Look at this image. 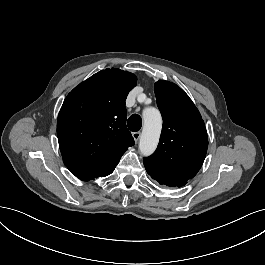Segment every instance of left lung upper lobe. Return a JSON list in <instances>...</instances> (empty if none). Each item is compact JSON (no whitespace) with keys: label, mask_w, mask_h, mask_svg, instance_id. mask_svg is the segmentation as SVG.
Segmentation results:
<instances>
[{"label":"left lung upper lobe","mask_w":265,"mask_h":265,"mask_svg":"<svg viewBox=\"0 0 265 265\" xmlns=\"http://www.w3.org/2000/svg\"><path fill=\"white\" fill-rule=\"evenodd\" d=\"M163 127L157 150L144 158L147 173L161 185L182 187L200 170L208 148L204 121L189 96L176 84L155 83Z\"/></svg>","instance_id":"left-lung-upper-lobe-1"}]
</instances>
